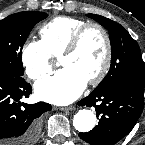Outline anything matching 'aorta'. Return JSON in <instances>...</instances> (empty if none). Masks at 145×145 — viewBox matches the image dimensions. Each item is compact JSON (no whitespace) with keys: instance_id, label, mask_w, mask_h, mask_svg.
Wrapping results in <instances>:
<instances>
[{"instance_id":"obj_1","label":"aorta","mask_w":145,"mask_h":145,"mask_svg":"<svg viewBox=\"0 0 145 145\" xmlns=\"http://www.w3.org/2000/svg\"><path fill=\"white\" fill-rule=\"evenodd\" d=\"M96 124V115L88 109L79 110L73 119V125L79 132H89Z\"/></svg>"}]
</instances>
